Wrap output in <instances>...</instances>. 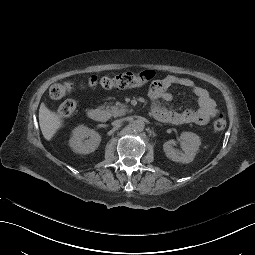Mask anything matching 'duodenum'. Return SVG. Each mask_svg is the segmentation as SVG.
<instances>
[{
    "mask_svg": "<svg viewBox=\"0 0 255 255\" xmlns=\"http://www.w3.org/2000/svg\"><path fill=\"white\" fill-rule=\"evenodd\" d=\"M88 117L91 120L97 121V122H103L107 119V113L104 109L100 107H94L88 110L87 112ZM152 116L154 119H156L159 122L167 123L171 120L170 113L161 108H154L152 111Z\"/></svg>",
    "mask_w": 255,
    "mask_h": 255,
    "instance_id": "1",
    "label": "duodenum"
}]
</instances>
